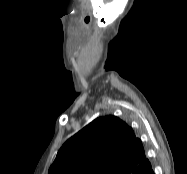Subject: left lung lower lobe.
Returning <instances> with one entry per match:
<instances>
[{
	"mask_svg": "<svg viewBox=\"0 0 187 174\" xmlns=\"http://www.w3.org/2000/svg\"><path fill=\"white\" fill-rule=\"evenodd\" d=\"M138 169H136L133 174H139L137 173ZM142 174H154L153 170L151 169V165L149 167L144 168Z\"/></svg>",
	"mask_w": 187,
	"mask_h": 174,
	"instance_id": "0a47b994",
	"label": "left lung lower lobe"
}]
</instances>
